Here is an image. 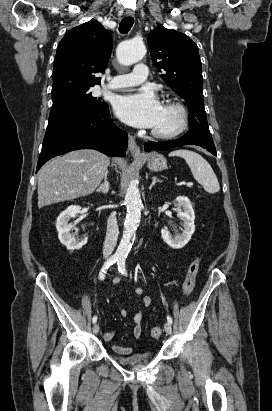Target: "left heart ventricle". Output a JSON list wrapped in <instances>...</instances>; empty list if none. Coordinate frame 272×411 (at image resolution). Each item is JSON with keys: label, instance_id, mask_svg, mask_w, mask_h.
Segmentation results:
<instances>
[{"label": "left heart ventricle", "instance_id": "b2bd125f", "mask_svg": "<svg viewBox=\"0 0 272 411\" xmlns=\"http://www.w3.org/2000/svg\"><path fill=\"white\" fill-rule=\"evenodd\" d=\"M177 123V114L174 110L168 107H162L160 117L154 126L155 129L158 130H170L172 129Z\"/></svg>", "mask_w": 272, "mask_h": 411}]
</instances>
